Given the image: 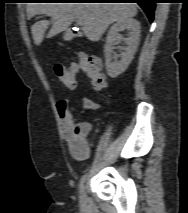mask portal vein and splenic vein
Here are the masks:
<instances>
[{"label":"portal vein and splenic vein","mask_w":188,"mask_h":213,"mask_svg":"<svg viewBox=\"0 0 188 213\" xmlns=\"http://www.w3.org/2000/svg\"><path fill=\"white\" fill-rule=\"evenodd\" d=\"M77 23H78V25H81L82 21L81 20H77Z\"/></svg>","instance_id":"18ae733b"}]
</instances>
